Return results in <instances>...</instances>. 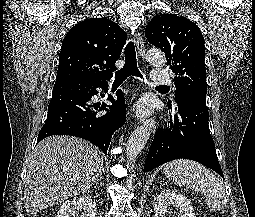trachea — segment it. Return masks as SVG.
Segmentation results:
<instances>
[{
	"label": "trachea",
	"mask_w": 255,
	"mask_h": 217,
	"mask_svg": "<svg viewBox=\"0 0 255 217\" xmlns=\"http://www.w3.org/2000/svg\"><path fill=\"white\" fill-rule=\"evenodd\" d=\"M129 76L143 78L137 66L136 51L132 41H129L125 47V64L123 68L115 73L113 85H120ZM158 88L165 89L168 87L158 86Z\"/></svg>",
	"instance_id": "1"
}]
</instances>
